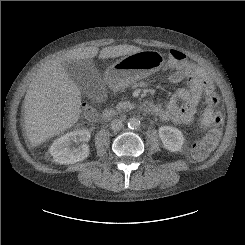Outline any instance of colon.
Masks as SVG:
<instances>
[{
    "label": "colon",
    "instance_id": "5ec220e1",
    "mask_svg": "<svg viewBox=\"0 0 245 245\" xmlns=\"http://www.w3.org/2000/svg\"><path fill=\"white\" fill-rule=\"evenodd\" d=\"M169 60L173 64H183L187 56L179 50H170L168 53ZM202 86L205 90L206 101L210 106H216L219 103V97L211 81L208 78L202 79ZM95 101H90L84 108L82 113V122L87 123L94 119L96 112L94 109ZM223 117L220 112H214L211 117V128L207 134L196 140L191 147L190 156L195 160L204 159L217 145L221 135Z\"/></svg>",
    "mask_w": 245,
    "mask_h": 245
}]
</instances>
